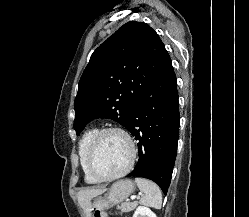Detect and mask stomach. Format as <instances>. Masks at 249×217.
<instances>
[{"label":"stomach","instance_id":"0dacf381","mask_svg":"<svg viewBox=\"0 0 249 217\" xmlns=\"http://www.w3.org/2000/svg\"><path fill=\"white\" fill-rule=\"evenodd\" d=\"M134 190V183L130 179L115 182L105 197H100L95 200L93 204V209H95L94 214H102L112 206L119 205L127 199Z\"/></svg>","mask_w":249,"mask_h":217}]
</instances>
